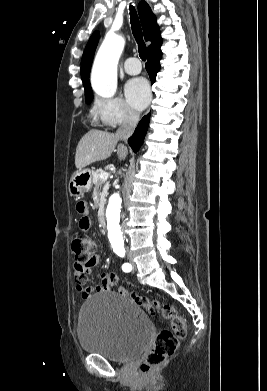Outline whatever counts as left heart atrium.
<instances>
[{"mask_svg":"<svg viewBox=\"0 0 267 391\" xmlns=\"http://www.w3.org/2000/svg\"><path fill=\"white\" fill-rule=\"evenodd\" d=\"M125 96L133 108L142 110L150 99L147 81L143 78H134L128 81L125 86Z\"/></svg>","mask_w":267,"mask_h":391,"instance_id":"1","label":"left heart atrium"}]
</instances>
